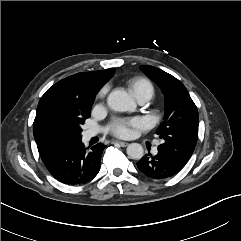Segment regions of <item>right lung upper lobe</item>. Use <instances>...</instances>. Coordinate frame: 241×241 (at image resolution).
<instances>
[{
  "instance_id": "1",
  "label": "right lung upper lobe",
  "mask_w": 241,
  "mask_h": 241,
  "mask_svg": "<svg viewBox=\"0 0 241 241\" xmlns=\"http://www.w3.org/2000/svg\"><path fill=\"white\" fill-rule=\"evenodd\" d=\"M114 69L77 73L50 87L41 97L33 123V134L40 155L51 150L44 142L43 125L52 114L82 115L91 110L100 88L113 76Z\"/></svg>"
}]
</instances>
